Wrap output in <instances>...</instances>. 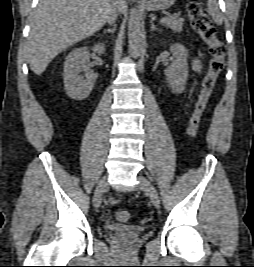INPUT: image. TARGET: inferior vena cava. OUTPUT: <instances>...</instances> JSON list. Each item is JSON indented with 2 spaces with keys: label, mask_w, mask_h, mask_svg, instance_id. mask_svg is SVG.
I'll use <instances>...</instances> for the list:
<instances>
[{
  "label": "inferior vena cava",
  "mask_w": 254,
  "mask_h": 267,
  "mask_svg": "<svg viewBox=\"0 0 254 267\" xmlns=\"http://www.w3.org/2000/svg\"><path fill=\"white\" fill-rule=\"evenodd\" d=\"M118 3H119V1L118 0H115L114 2H113V5H112V7H111V9H110V12H109V14H108V16H107V22L111 25L112 23H114L115 21H116V19H117V16H118Z\"/></svg>",
  "instance_id": "obj_1"
}]
</instances>
